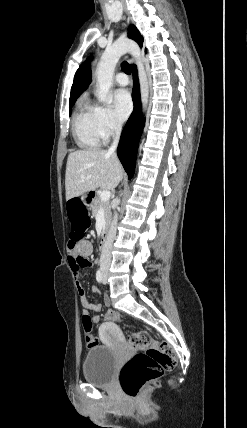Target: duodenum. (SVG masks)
<instances>
[{
  "label": "duodenum",
  "instance_id": "410a0bca",
  "mask_svg": "<svg viewBox=\"0 0 247 428\" xmlns=\"http://www.w3.org/2000/svg\"><path fill=\"white\" fill-rule=\"evenodd\" d=\"M91 197H92V195L89 194L88 195V199L90 200ZM108 235H109V226L107 224V225H105V227L102 230L100 241H99V248L101 250H103L105 248V246H106Z\"/></svg>",
  "mask_w": 247,
  "mask_h": 428
}]
</instances>
